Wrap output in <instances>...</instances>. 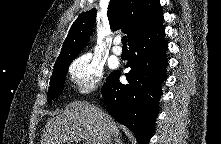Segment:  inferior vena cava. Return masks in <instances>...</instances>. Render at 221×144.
<instances>
[{
    "label": "inferior vena cava",
    "instance_id": "obj_1",
    "mask_svg": "<svg viewBox=\"0 0 221 144\" xmlns=\"http://www.w3.org/2000/svg\"><path fill=\"white\" fill-rule=\"evenodd\" d=\"M102 138H103V141L101 142V144H111L110 135L107 133L105 128H103Z\"/></svg>",
    "mask_w": 221,
    "mask_h": 144
}]
</instances>
